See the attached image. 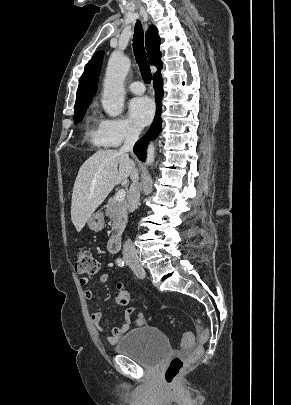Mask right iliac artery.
I'll use <instances>...</instances> for the list:
<instances>
[{"instance_id": "right-iliac-artery-1", "label": "right iliac artery", "mask_w": 291, "mask_h": 405, "mask_svg": "<svg viewBox=\"0 0 291 405\" xmlns=\"http://www.w3.org/2000/svg\"><path fill=\"white\" fill-rule=\"evenodd\" d=\"M116 263H117V265H118L119 267H123L124 264H125L122 259H118V260L116 261Z\"/></svg>"}]
</instances>
